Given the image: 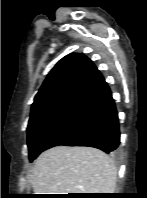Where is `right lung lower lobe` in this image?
<instances>
[{"mask_svg":"<svg viewBox=\"0 0 147 198\" xmlns=\"http://www.w3.org/2000/svg\"><path fill=\"white\" fill-rule=\"evenodd\" d=\"M119 144L117 110L111 91L103 81L73 105L41 142L36 157L58 145L90 146L106 153H115Z\"/></svg>","mask_w":147,"mask_h":198,"instance_id":"1","label":"right lung lower lobe"}]
</instances>
